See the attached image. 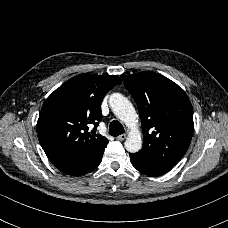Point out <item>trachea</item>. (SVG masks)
I'll return each instance as SVG.
<instances>
[{
  "label": "trachea",
  "mask_w": 228,
  "mask_h": 228,
  "mask_svg": "<svg viewBox=\"0 0 228 228\" xmlns=\"http://www.w3.org/2000/svg\"><path fill=\"white\" fill-rule=\"evenodd\" d=\"M123 133H124V128L122 124L117 120H113L109 125V134L111 136L116 137Z\"/></svg>",
  "instance_id": "3493384b"
}]
</instances>
